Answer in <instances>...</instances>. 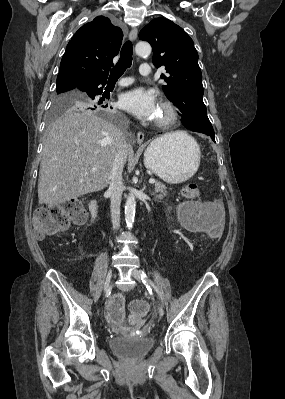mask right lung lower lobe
Masks as SVG:
<instances>
[{
	"label": "right lung lower lobe",
	"mask_w": 285,
	"mask_h": 399,
	"mask_svg": "<svg viewBox=\"0 0 285 399\" xmlns=\"http://www.w3.org/2000/svg\"><path fill=\"white\" fill-rule=\"evenodd\" d=\"M107 78H91L87 79L81 84L77 86V89L91 94V95H100L102 93V88L99 85L104 86L106 84Z\"/></svg>",
	"instance_id": "obj_1"
}]
</instances>
